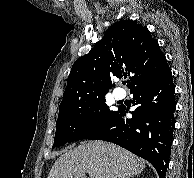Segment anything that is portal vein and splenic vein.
Segmentation results:
<instances>
[{
	"instance_id": "portal-vein-and-splenic-vein-1",
	"label": "portal vein and splenic vein",
	"mask_w": 194,
	"mask_h": 178,
	"mask_svg": "<svg viewBox=\"0 0 194 178\" xmlns=\"http://www.w3.org/2000/svg\"><path fill=\"white\" fill-rule=\"evenodd\" d=\"M74 178H86L85 175H77Z\"/></svg>"
}]
</instances>
